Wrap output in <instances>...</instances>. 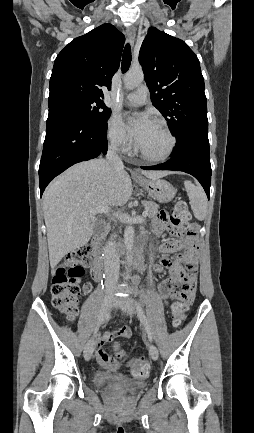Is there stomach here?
Segmentation results:
<instances>
[{
	"label": "stomach",
	"instance_id": "0dacf381",
	"mask_svg": "<svg viewBox=\"0 0 254 433\" xmlns=\"http://www.w3.org/2000/svg\"><path fill=\"white\" fill-rule=\"evenodd\" d=\"M138 183L153 199L161 203L171 201L176 194L175 188L169 182L162 179L140 178L138 179Z\"/></svg>",
	"mask_w": 254,
	"mask_h": 433
}]
</instances>
